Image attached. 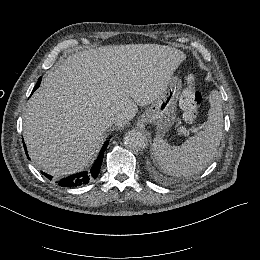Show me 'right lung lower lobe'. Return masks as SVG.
<instances>
[{"label": "right lung lower lobe", "instance_id": "obj_1", "mask_svg": "<svg viewBox=\"0 0 260 260\" xmlns=\"http://www.w3.org/2000/svg\"><path fill=\"white\" fill-rule=\"evenodd\" d=\"M40 82H41V78H39L37 85L33 89L32 93L39 87ZM108 144H109V141H106L104 143V145L99 153V156L97 157L95 163L93 164V166L91 167V169L89 171L79 172V173L70 175L68 177L57 180L55 183L61 187L71 188V187H79V186L85 185V184L89 183L90 180L95 179L100 172V168H101V164H102V160H103V156H104V151L107 148ZM24 149L27 154L25 144H24ZM43 175L46 176L50 180L52 179V176H50L46 173H43Z\"/></svg>", "mask_w": 260, "mask_h": 260}]
</instances>
